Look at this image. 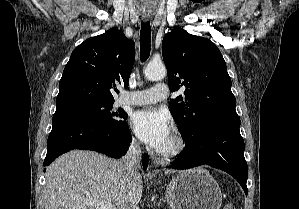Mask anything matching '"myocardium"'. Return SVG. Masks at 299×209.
<instances>
[{"label": "myocardium", "instance_id": "1", "mask_svg": "<svg viewBox=\"0 0 299 209\" xmlns=\"http://www.w3.org/2000/svg\"><path fill=\"white\" fill-rule=\"evenodd\" d=\"M173 146L167 150H157L156 156L164 161L169 162L179 158L187 150V140L183 133L178 129L172 131Z\"/></svg>", "mask_w": 299, "mask_h": 209}]
</instances>
